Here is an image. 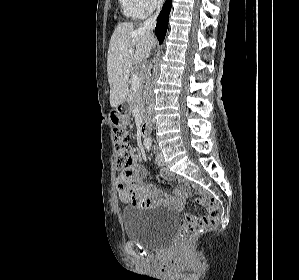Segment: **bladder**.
<instances>
[{
    "instance_id": "1",
    "label": "bladder",
    "mask_w": 299,
    "mask_h": 280,
    "mask_svg": "<svg viewBox=\"0 0 299 280\" xmlns=\"http://www.w3.org/2000/svg\"><path fill=\"white\" fill-rule=\"evenodd\" d=\"M125 236L151 249H161L172 239L178 226L175 213L159 206L128 211L123 215Z\"/></svg>"
}]
</instances>
